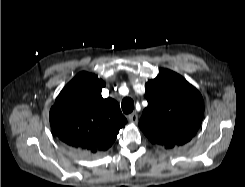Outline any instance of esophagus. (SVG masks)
Here are the masks:
<instances>
[{"label":"esophagus","mask_w":245,"mask_h":187,"mask_svg":"<svg viewBox=\"0 0 245 187\" xmlns=\"http://www.w3.org/2000/svg\"><path fill=\"white\" fill-rule=\"evenodd\" d=\"M128 120L131 123H137L138 122V115L136 113H131L128 115Z\"/></svg>","instance_id":"34e87169"}]
</instances>
